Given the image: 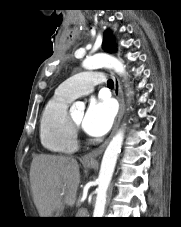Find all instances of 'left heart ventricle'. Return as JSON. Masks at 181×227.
Masks as SVG:
<instances>
[{
    "label": "left heart ventricle",
    "mask_w": 181,
    "mask_h": 227,
    "mask_svg": "<svg viewBox=\"0 0 181 227\" xmlns=\"http://www.w3.org/2000/svg\"><path fill=\"white\" fill-rule=\"evenodd\" d=\"M83 116H84L83 111H77V112H75V113L72 114L73 120H74L76 123H78L79 125L82 123Z\"/></svg>",
    "instance_id": "1"
}]
</instances>
